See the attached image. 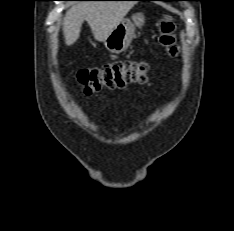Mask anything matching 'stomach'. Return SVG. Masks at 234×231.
I'll return each mask as SVG.
<instances>
[{"instance_id": "0dacf381", "label": "stomach", "mask_w": 234, "mask_h": 231, "mask_svg": "<svg viewBox=\"0 0 234 231\" xmlns=\"http://www.w3.org/2000/svg\"><path fill=\"white\" fill-rule=\"evenodd\" d=\"M144 23L143 13H135L131 19H123L103 41L105 48L115 54L125 51L134 38L136 27L141 28Z\"/></svg>"}]
</instances>
